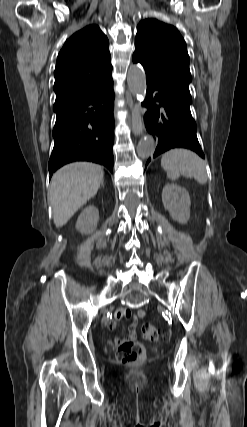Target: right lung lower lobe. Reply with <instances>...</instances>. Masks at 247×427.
<instances>
[{
	"mask_svg": "<svg viewBox=\"0 0 247 427\" xmlns=\"http://www.w3.org/2000/svg\"><path fill=\"white\" fill-rule=\"evenodd\" d=\"M113 101L112 79L88 92L55 101L50 177L58 168L74 161L99 163L113 171Z\"/></svg>",
	"mask_w": 247,
	"mask_h": 427,
	"instance_id": "1",
	"label": "right lung lower lobe"
}]
</instances>
